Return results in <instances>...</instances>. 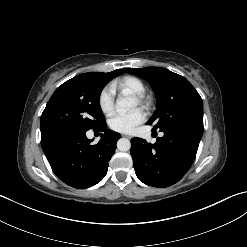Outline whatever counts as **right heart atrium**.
I'll return each mask as SVG.
<instances>
[{
  "instance_id": "d8ad5b80",
  "label": "right heart atrium",
  "mask_w": 247,
  "mask_h": 247,
  "mask_svg": "<svg viewBox=\"0 0 247 247\" xmlns=\"http://www.w3.org/2000/svg\"><path fill=\"white\" fill-rule=\"evenodd\" d=\"M99 107L103 113L109 115L114 110V93L111 88H104L99 95Z\"/></svg>"
}]
</instances>
